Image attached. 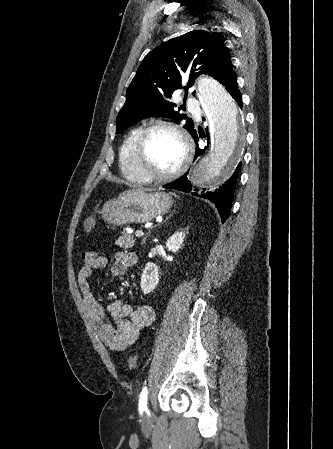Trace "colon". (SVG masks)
Wrapping results in <instances>:
<instances>
[{
	"label": "colon",
	"instance_id": "colon-1",
	"mask_svg": "<svg viewBox=\"0 0 333 449\" xmlns=\"http://www.w3.org/2000/svg\"><path fill=\"white\" fill-rule=\"evenodd\" d=\"M95 225H96L95 217H93V216L88 217L84 222V229H85V231L90 232L91 230H93ZM138 361H139V359H138L137 355L129 356V358L127 360L129 369H135L138 365Z\"/></svg>",
	"mask_w": 333,
	"mask_h": 449
}]
</instances>
